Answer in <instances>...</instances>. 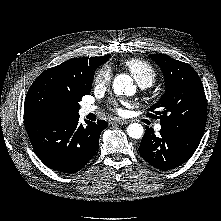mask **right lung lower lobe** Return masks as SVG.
Here are the masks:
<instances>
[{
	"label": "right lung lower lobe",
	"mask_w": 221,
	"mask_h": 221,
	"mask_svg": "<svg viewBox=\"0 0 221 221\" xmlns=\"http://www.w3.org/2000/svg\"><path fill=\"white\" fill-rule=\"evenodd\" d=\"M79 115L54 119L25 117L26 130L38 158L49 168L62 173L82 169L99 147L104 120L78 123Z\"/></svg>",
	"instance_id": "right-lung-lower-lobe-1"
}]
</instances>
